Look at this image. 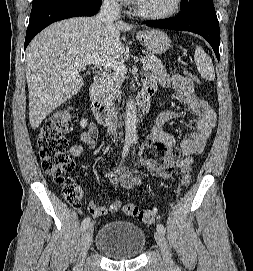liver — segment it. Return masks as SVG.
<instances>
[{
  "mask_svg": "<svg viewBox=\"0 0 253 271\" xmlns=\"http://www.w3.org/2000/svg\"><path fill=\"white\" fill-rule=\"evenodd\" d=\"M132 28L123 21L104 24L97 16L76 17L50 25L31 41L26 51V79L32 129L84 85L75 62L94 55L120 59L125 52L120 33Z\"/></svg>",
  "mask_w": 253,
  "mask_h": 271,
  "instance_id": "obj_1",
  "label": "liver"
}]
</instances>
